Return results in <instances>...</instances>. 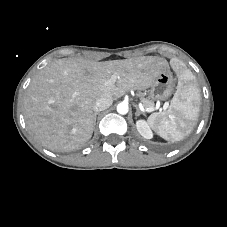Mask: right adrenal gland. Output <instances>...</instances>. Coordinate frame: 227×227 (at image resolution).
I'll use <instances>...</instances> for the list:
<instances>
[{
    "mask_svg": "<svg viewBox=\"0 0 227 227\" xmlns=\"http://www.w3.org/2000/svg\"><path fill=\"white\" fill-rule=\"evenodd\" d=\"M98 114H99L98 112L94 113L95 123H96V117H97Z\"/></svg>",
    "mask_w": 227,
    "mask_h": 227,
    "instance_id": "1",
    "label": "right adrenal gland"
}]
</instances>
